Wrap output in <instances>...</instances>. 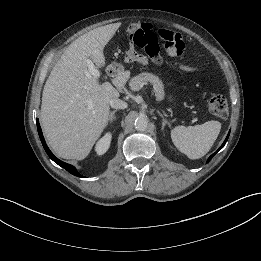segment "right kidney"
Wrapping results in <instances>:
<instances>
[{
  "mask_svg": "<svg viewBox=\"0 0 261 261\" xmlns=\"http://www.w3.org/2000/svg\"><path fill=\"white\" fill-rule=\"evenodd\" d=\"M111 137V134L107 133L97 142L95 150L98 155H103L109 149Z\"/></svg>",
  "mask_w": 261,
  "mask_h": 261,
  "instance_id": "1",
  "label": "right kidney"
}]
</instances>
